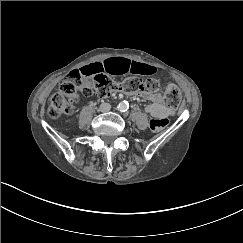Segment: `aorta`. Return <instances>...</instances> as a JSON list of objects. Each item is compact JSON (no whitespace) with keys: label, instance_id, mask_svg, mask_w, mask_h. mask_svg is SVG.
I'll list each match as a JSON object with an SVG mask.
<instances>
[{"label":"aorta","instance_id":"aorta-1","mask_svg":"<svg viewBox=\"0 0 243 243\" xmlns=\"http://www.w3.org/2000/svg\"><path fill=\"white\" fill-rule=\"evenodd\" d=\"M118 108H119L120 111H125V110H127L128 105H127L126 102L123 101V102H120V103H119Z\"/></svg>","mask_w":243,"mask_h":243}]
</instances>
